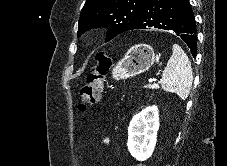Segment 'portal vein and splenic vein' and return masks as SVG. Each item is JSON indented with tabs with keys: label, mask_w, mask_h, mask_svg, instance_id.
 Segmentation results:
<instances>
[{
	"label": "portal vein and splenic vein",
	"mask_w": 227,
	"mask_h": 166,
	"mask_svg": "<svg viewBox=\"0 0 227 166\" xmlns=\"http://www.w3.org/2000/svg\"><path fill=\"white\" fill-rule=\"evenodd\" d=\"M154 81H156V79H149V82L151 83V82H154ZM154 86H158L157 84H154Z\"/></svg>",
	"instance_id": "obj_1"
}]
</instances>
